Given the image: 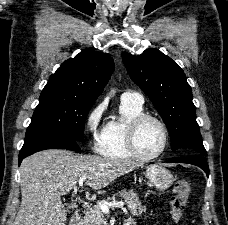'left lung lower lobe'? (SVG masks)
<instances>
[{
    "label": "left lung lower lobe",
    "mask_w": 228,
    "mask_h": 225,
    "mask_svg": "<svg viewBox=\"0 0 228 225\" xmlns=\"http://www.w3.org/2000/svg\"><path fill=\"white\" fill-rule=\"evenodd\" d=\"M168 162L171 163H187L200 167L203 169L207 176H209V167L204 156H191L187 158L172 159Z\"/></svg>",
    "instance_id": "left-lung-lower-lobe-1"
}]
</instances>
